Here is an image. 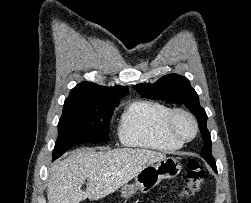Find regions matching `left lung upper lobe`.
Wrapping results in <instances>:
<instances>
[{
    "mask_svg": "<svg viewBox=\"0 0 251 203\" xmlns=\"http://www.w3.org/2000/svg\"><path fill=\"white\" fill-rule=\"evenodd\" d=\"M135 89L140 95L148 99L168 100L184 104L198 120L199 128L205 143L201 156L213 169H217L215 160L212 156L210 133L206 127V112L200 106L199 97L186 77L178 74H168L161 77L154 84H138L135 86Z\"/></svg>",
    "mask_w": 251,
    "mask_h": 203,
    "instance_id": "1",
    "label": "left lung upper lobe"
}]
</instances>
